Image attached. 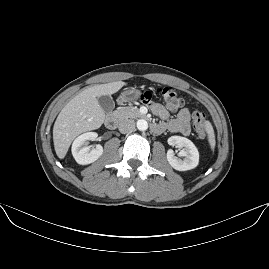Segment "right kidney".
I'll return each instance as SVG.
<instances>
[{"instance_id": "obj_1", "label": "right kidney", "mask_w": 269, "mask_h": 269, "mask_svg": "<svg viewBox=\"0 0 269 269\" xmlns=\"http://www.w3.org/2000/svg\"><path fill=\"white\" fill-rule=\"evenodd\" d=\"M98 137L96 132H87L78 136L72 144V155L76 162L81 165H87L95 162L102 154L103 147L96 145L92 150L89 149L88 141H94Z\"/></svg>"}]
</instances>
